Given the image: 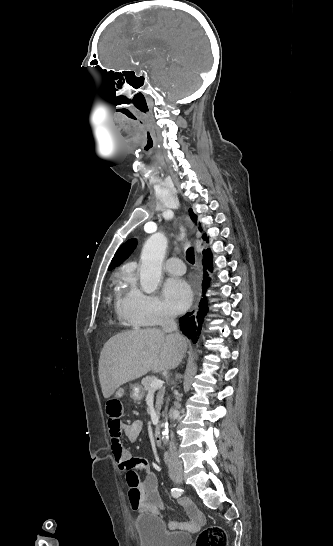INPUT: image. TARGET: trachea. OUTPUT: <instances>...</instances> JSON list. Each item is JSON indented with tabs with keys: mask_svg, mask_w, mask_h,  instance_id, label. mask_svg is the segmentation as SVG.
I'll return each mask as SVG.
<instances>
[{
	"mask_svg": "<svg viewBox=\"0 0 333 546\" xmlns=\"http://www.w3.org/2000/svg\"><path fill=\"white\" fill-rule=\"evenodd\" d=\"M186 259L189 263L194 264L195 257H194V250L192 247L188 248L186 251Z\"/></svg>",
	"mask_w": 333,
	"mask_h": 546,
	"instance_id": "1",
	"label": "trachea"
}]
</instances>
